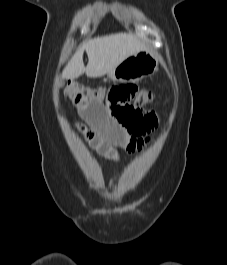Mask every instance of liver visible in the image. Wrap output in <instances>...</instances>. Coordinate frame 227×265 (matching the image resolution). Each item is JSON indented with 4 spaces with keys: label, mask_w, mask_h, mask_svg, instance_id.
Here are the masks:
<instances>
[{
    "label": "liver",
    "mask_w": 227,
    "mask_h": 265,
    "mask_svg": "<svg viewBox=\"0 0 227 265\" xmlns=\"http://www.w3.org/2000/svg\"><path fill=\"white\" fill-rule=\"evenodd\" d=\"M84 50L88 55V64L83 63ZM148 47L132 33H116L84 42L74 54L62 73V78L74 80L82 74L87 77H101L115 69L130 55Z\"/></svg>",
    "instance_id": "obj_1"
}]
</instances>
